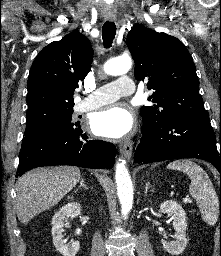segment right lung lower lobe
<instances>
[{
	"label": "right lung lower lobe",
	"instance_id": "1",
	"mask_svg": "<svg viewBox=\"0 0 221 256\" xmlns=\"http://www.w3.org/2000/svg\"><path fill=\"white\" fill-rule=\"evenodd\" d=\"M115 155L114 144L88 138L79 122L50 125L23 138L16 177L50 165L111 169Z\"/></svg>",
	"mask_w": 221,
	"mask_h": 256
}]
</instances>
